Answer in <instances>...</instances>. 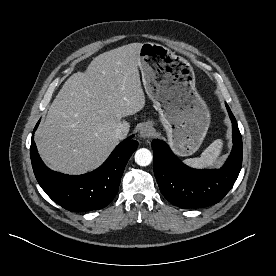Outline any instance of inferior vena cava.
Segmentation results:
<instances>
[{"label": "inferior vena cava", "mask_w": 276, "mask_h": 276, "mask_svg": "<svg viewBox=\"0 0 276 276\" xmlns=\"http://www.w3.org/2000/svg\"><path fill=\"white\" fill-rule=\"evenodd\" d=\"M129 132V125L127 123H119L114 130V136L117 139H124Z\"/></svg>", "instance_id": "602c4592"}]
</instances>
